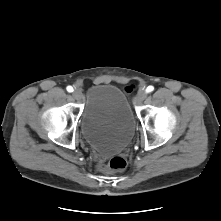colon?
<instances>
[{
    "mask_svg": "<svg viewBox=\"0 0 221 221\" xmlns=\"http://www.w3.org/2000/svg\"><path fill=\"white\" fill-rule=\"evenodd\" d=\"M133 90V86L132 85H128L125 87V92L126 93H130ZM127 166V162L125 160V158L121 157V156H115L113 158H111L108 162V164L106 165H100L99 168L102 171H122L126 168Z\"/></svg>",
    "mask_w": 221,
    "mask_h": 221,
    "instance_id": "obj_1",
    "label": "colon"
}]
</instances>
